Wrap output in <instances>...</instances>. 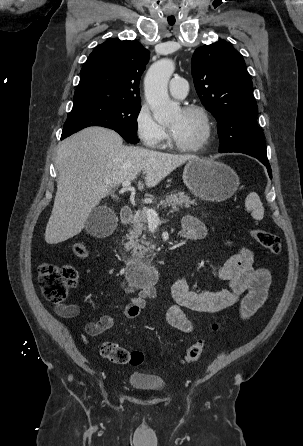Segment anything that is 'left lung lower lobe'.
Wrapping results in <instances>:
<instances>
[{
  "label": "left lung lower lobe",
  "instance_id": "obj_1",
  "mask_svg": "<svg viewBox=\"0 0 303 446\" xmlns=\"http://www.w3.org/2000/svg\"><path fill=\"white\" fill-rule=\"evenodd\" d=\"M248 155H251V154H248ZM251 156L257 158L261 163H263L266 166V168L268 170V174H269L270 178H272L271 167L269 165L267 157H260V156H257V155H251Z\"/></svg>",
  "mask_w": 303,
  "mask_h": 446
}]
</instances>
